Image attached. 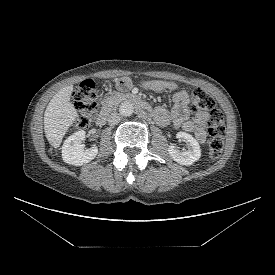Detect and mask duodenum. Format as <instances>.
<instances>
[{
    "instance_id": "duodenum-1",
    "label": "duodenum",
    "mask_w": 275,
    "mask_h": 275,
    "mask_svg": "<svg viewBox=\"0 0 275 275\" xmlns=\"http://www.w3.org/2000/svg\"><path fill=\"white\" fill-rule=\"evenodd\" d=\"M125 100L134 103L141 116L150 117V116L154 115V112L152 111V108L150 107V105L146 101L141 99L139 96L127 95L125 97ZM110 111H111L110 107H105L100 111V113L98 114V116L96 118V124L98 126H102L106 123V121L109 117Z\"/></svg>"
}]
</instances>
